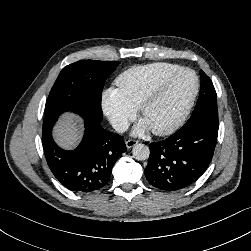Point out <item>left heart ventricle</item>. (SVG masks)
<instances>
[{"mask_svg":"<svg viewBox=\"0 0 251 251\" xmlns=\"http://www.w3.org/2000/svg\"><path fill=\"white\" fill-rule=\"evenodd\" d=\"M194 85L195 79L190 73H181L175 77L144 112L142 119L150 129H162L171 125L186 106Z\"/></svg>","mask_w":251,"mask_h":251,"instance_id":"1","label":"left heart ventricle"}]
</instances>
